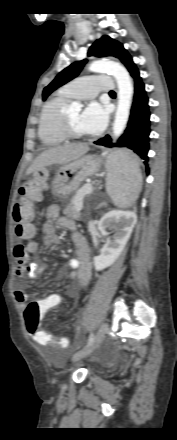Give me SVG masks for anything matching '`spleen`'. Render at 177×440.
<instances>
[{"label": "spleen", "instance_id": "1", "mask_svg": "<svg viewBox=\"0 0 177 440\" xmlns=\"http://www.w3.org/2000/svg\"><path fill=\"white\" fill-rule=\"evenodd\" d=\"M117 158L121 159V165H107L106 190L116 206L126 208L133 204L141 190L142 175L135 155L121 150L117 151Z\"/></svg>", "mask_w": 177, "mask_h": 440}]
</instances>
